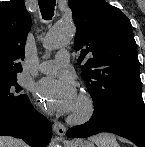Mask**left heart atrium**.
Here are the masks:
<instances>
[{
	"instance_id": "left-heart-atrium-1",
	"label": "left heart atrium",
	"mask_w": 145,
	"mask_h": 147,
	"mask_svg": "<svg viewBox=\"0 0 145 147\" xmlns=\"http://www.w3.org/2000/svg\"><path fill=\"white\" fill-rule=\"evenodd\" d=\"M36 93L48 109L59 113L73 111L78 101L76 83L70 75L42 79L36 86Z\"/></svg>"
}]
</instances>
